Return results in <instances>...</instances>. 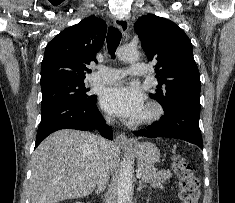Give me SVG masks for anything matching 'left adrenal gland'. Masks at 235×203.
<instances>
[{
	"label": "left adrenal gland",
	"instance_id": "obj_1",
	"mask_svg": "<svg viewBox=\"0 0 235 203\" xmlns=\"http://www.w3.org/2000/svg\"><path fill=\"white\" fill-rule=\"evenodd\" d=\"M146 187L145 185H142V181L139 180V186L137 188L138 191H140L142 188Z\"/></svg>",
	"mask_w": 235,
	"mask_h": 203
}]
</instances>
